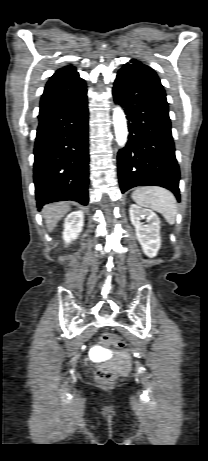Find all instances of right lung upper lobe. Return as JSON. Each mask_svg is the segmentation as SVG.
Listing matches in <instances>:
<instances>
[{"mask_svg": "<svg viewBox=\"0 0 208 461\" xmlns=\"http://www.w3.org/2000/svg\"><path fill=\"white\" fill-rule=\"evenodd\" d=\"M85 81L72 65L56 70L49 78L40 101V112L71 103L86 92Z\"/></svg>", "mask_w": 208, "mask_h": 461, "instance_id": "1", "label": "right lung upper lobe"}]
</instances>
